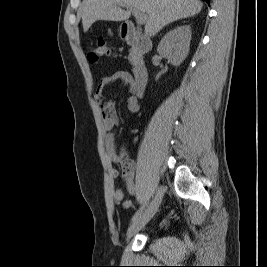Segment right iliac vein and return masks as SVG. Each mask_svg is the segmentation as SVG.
<instances>
[{"instance_id": "obj_1", "label": "right iliac vein", "mask_w": 267, "mask_h": 267, "mask_svg": "<svg viewBox=\"0 0 267 267\" xmlns=\"http://www.w3.org/2000/svg\"><path fill=\"white\" fill-rule=\"evenodd\" d=\"M163 194H164V189L162 186H160L157 189L154 198L152 199V201L150 202L144 213L128 228L126 234L128 239L134 236L138 231H140L155 215L162 201Z\"/></svg>"}]
</instances>
